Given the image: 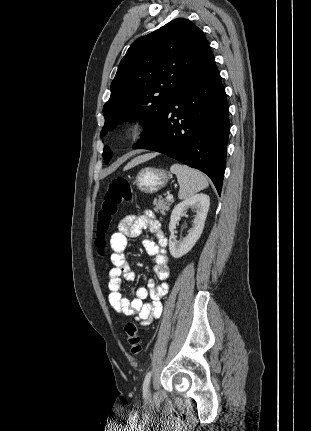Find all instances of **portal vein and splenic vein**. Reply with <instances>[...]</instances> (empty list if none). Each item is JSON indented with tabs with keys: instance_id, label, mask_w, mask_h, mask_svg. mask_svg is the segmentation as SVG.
<instances>
[{
	"instance_id": "obj_1",
	"label": "portal vein and splenic vein",
	"mask_w": 311,
	"mask_h": 431,
	"mask_svg": "<svg viewBox=\"0 0 311 431\" xmlns=\"http://www.w3.org/2000/svg\"><path fill=\"white\" fill-rule=\"evenodd\" d=\"M173 196L172 194H167V200H172Z\"/></svg>"
}]
</instances>
